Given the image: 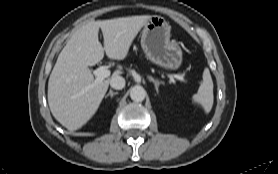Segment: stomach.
I'll return each instance as SVG.
<instances>
[{"label":"stomach","mask_w":278,"mask_h":174,"mask_svg":"<svg viewBox=\"0 0 278 174\" xmlns=\"http://www.w3.org/2000/svg\"><path fill=\"white\" fill-rule=\"evenodd\" d=\"M171 26L160 16H152L144 25L141 47L146 57L165 69L177 70L182 64V50L171 40Z\"/></svg>","instance_id":"obj_1"}]
</instances>
